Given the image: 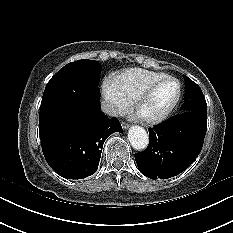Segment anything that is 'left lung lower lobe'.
I'll list each match as a JSON object with an SVG mask.
<instances>
[{
	"label": "left lung lower lobe",
	"instance_id": "obj_1",
	"mask_svg": "<svg viewBox=\"0 0 233 233\" xmlns=\"http://www.w3.org/2000/svg\"><path fill=\"white\" fill-rule=\"evenodd\" d=\"M207 129V110L184 111L149 129V145L136 153L142 174L151 179L174 177L199 155Z\"/></svg>",
	"mask_w": 233,
	"mask_h": 233
}]
</instances>
